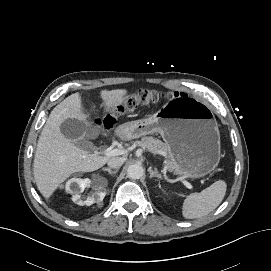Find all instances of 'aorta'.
I'll use <instances>...</instances> for the list:
<instances>
[{
  "label": "aorta",
  "mask_w": 271,
  "mask_h": 271,
  "mask_svg": "<svg viewBox=\"0 0 271 271\" xmlns=\"http://www.w3.org/2000/svg\"><path fill=\"white\" fill-rule=\"evenodd\" d=\"M144 174V169L139 164H132L127 169V176L131 179H140Z\"/></svg>",
  "instance_id": "762f6f07"
}]
</instances>
